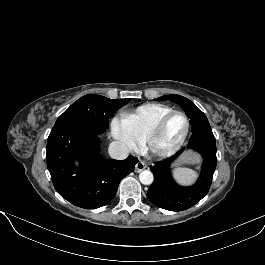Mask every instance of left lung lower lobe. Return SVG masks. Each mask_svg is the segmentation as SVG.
<instances>
[{
	"mask_svg": "<svg viewBox=\"0 0 265 265\" xmlns=\"http://www.w3.org/2000/svg\"><path fill=\"white\" fill-rule=\"evenodd\" d=\"M192 132L187 148L199 152L204 159L200 176L193 186H178L170 171L171 163L183 153L185 148L150 167L154 174V182L147 196L160 208L170 211L186 210L198 203L210 189L217 163L215 137L210 125L197 127Z\"/></svg>",
	"mask_w": 265,
	"mask_h": 265,
	"instance_id": "0a47b994",
	"label": "left lung lower lobe"
}]
</instances>
